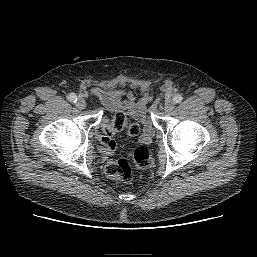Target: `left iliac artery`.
<instances>
[{
  "label": "left iliac artery",
  "instance_id": "1",
  "mask_svg": "<svg viewBox=\"0 0 257 257\" xmlns=\"http://www.w3.org/2000/svg\"><path fill=\"white\" fill-rule=\"evenodd\" d=\"M182 100H183V97H182V95H180V94H176V95L173 97V101H174L175 103H180V102H182Z\"/></svg>",
  "mask_w": 257,
  "mask_h": 257
}]
</instances>
